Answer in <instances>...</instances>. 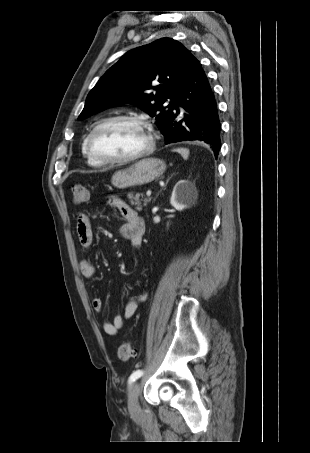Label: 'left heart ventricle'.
Listing matches in <instances>:
<instances>
[{
  "label": "left heart ventricle",
  "mask_w": 310,
  "mask_h": 453,
  "mask_svg": "<svg viewBox=\"0 0 310 453\" xmlns=\"http://www.w3.org/2000/svg\"><path fill=\"white\" fill-rule=\"evenodd\" d=\"M148 143L144 129L131 122H115L100 129L94 136V149L109 158H124L137 153Z\"/></svg>",
  "instance_id": "b2bd125f"
}]
</instances>
